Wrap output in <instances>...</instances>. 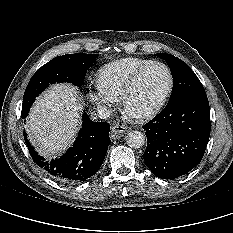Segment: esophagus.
Wrapping results in <instances>:
<instances>
[{
	"mask_svg": "<svg viewBox=\"0 0 233 233\" xmlns=\"http://www.w3.org/2000/svg\"><path fill=\"white\" fill-rule=\"evenodd\" d=\"M127 131V127L124 125H113L111 127L112 134L119 136Z\"/></svg>",
	"mask_w": 233,
	"mask_h": 233,
	"instance_id": "obj_1",
	"label": "esophagus"
}]
</instances>
